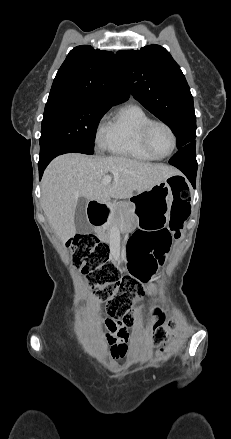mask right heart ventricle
<instances>
[{
    "label": "right heart ventricle",
    "mask_w": 231,
    "mask_h": 439,
    "mask_svg": "<svg viewBox=\"0 0 231 439\" xmlns=\"http://www.w3.org/2000/svg\"><path fill=\"white\" fill-rule=\"evenodd\" d=\"M152 120L138 104H127L112 114L101 138V147L107 152L139 161L156 158L143 145L142 132Z\"/></svg>",
    "instance_id": "right-heart-ventricle-1"
}]
</instances>
